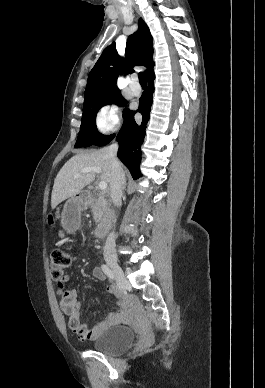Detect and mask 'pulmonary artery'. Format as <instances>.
<instances>
[{
  "label": "pulmonary artery",
  "mask_w": 265,
  "mask_h": 388,
  "mask_svg": "<svg viewBox=\"0 0 265 388\" xmlns=\"http://www.w3.org/2000/svg\"><path fill=\"white\" fill-rule=\"evenodd\" d=\"M130 82H133V83H129L128 85V88L129 90H134L133 91V94L135 96L139 95L140 94V88H141V85L140 83H136V82H139V75H130Z\"/></svg>",
  "instance_id": "e3ab8cb5"
}]
</instances>
